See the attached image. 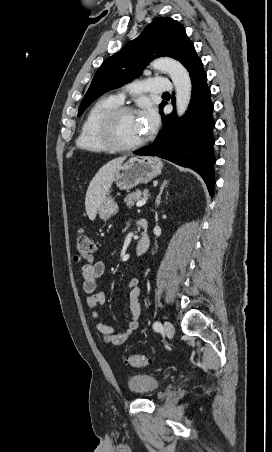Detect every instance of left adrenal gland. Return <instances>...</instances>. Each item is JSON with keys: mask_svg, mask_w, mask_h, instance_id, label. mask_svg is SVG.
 <instances>
[{"mask_svg": "<svg viewBox=\"0 0 272 452\" xmlns=\"http://www.w3.org/2000/svg\"><path fill=\"white\" fill-rule=\"evenodd\" d=\"M167 184H168V180H164V181L162 182V184H161V186H160L159 194L157 195V198H156V200H155V207H158L159 204L161 203V195H162V193H163L165 187L167 186Z\"/></svg>", "mask_w": 272, "mask_h": 452, "instance_id": "a2214340", "label": "left adrenal gland"}]
</instances>
